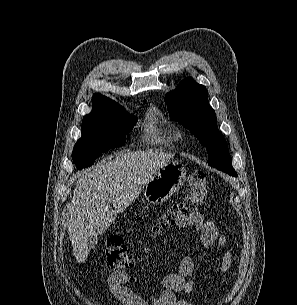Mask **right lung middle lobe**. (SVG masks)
<instances>
[{
	"label": "right lung middle lobe",
	"instance_id": "obj_1",
	"mask_svg": "<svg viewBox=\"0 0 297 305\" xmlns=\"http://www.w3.org/2000/svg\"><path fill=\"white\" fill-rule=\"evenodd\" d=\"M136 122L137 119L119 105L86 115L82 123V137L72 152L77 168L91 166L103 152L122 146L126 141L125 134L133 129Z\"/></svg>",
	"mask_w": 297,
	"mask_h": 305
}]
</instances>
